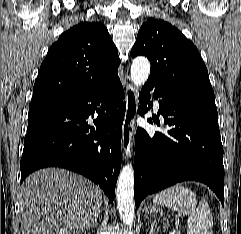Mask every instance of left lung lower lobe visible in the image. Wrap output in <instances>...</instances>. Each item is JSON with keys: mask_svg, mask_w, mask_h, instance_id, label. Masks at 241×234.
Returning <instances> with one entry per match:
<instances>
[{"mask_svg": "<svg viewBox=\"0 0 241 234\" xmlns=\"http://www.w3.org/2000/svg\"><path fill=\"white\" fill-rule=\"evenodd\" d=\"M159 100L158 114L167 133L149 136L138 128L135 139L134 197L138 207L149 194L181 181L208 185L224 205L223 147L217 108L171 92L148 79L139 94V114L153 105L149 91ZM148 105V106H147ZM160 125L159 118L153 119ZM152 123V119L148 120Z\"/></svg>", "mask_w": 241, "mask_h": 234, "instance_id": "obj_1", "label": "left lung lower lobe"}]
</instances>
